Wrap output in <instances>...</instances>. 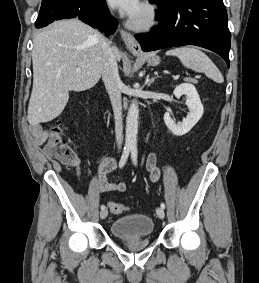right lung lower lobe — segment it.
Instances as JSON below:
<instances>
[{
    "label": "right lung lower lobe",
    "mask_w": 259,
    "mask_h": 283,
    "mask_svg": "<svg viewBox=\"0 0 259 283\" xmlns=\"http://www.w3.org/2000/svg\"><path fill=\"white\" fill-rule=\"evenodd\" d=\"M75 17L101 32L109 28L113 33L117 27V20L110 15L105 0H42L35 27L42 28L54 20Z\"/></svg>",
    "instance_id": "right-lung-lower-lobe-1"
}]
</instances>
